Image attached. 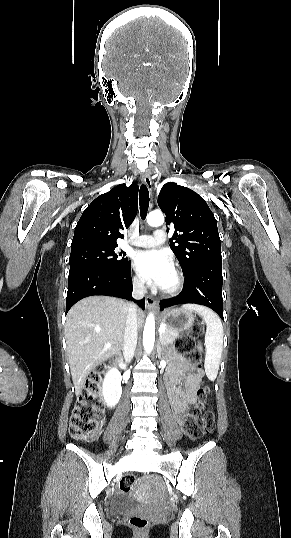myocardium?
I'll list each match as a JSON object with an SVG mask.
<instances>
[{"label":"myocardium","mask_w":291,"mask_h":538,"mask_svg":"<svg viewBox=\"0 0 291 538\" xmlns=\"http://www.w3.org/2000/svg\"><path fill=\"white\" fill-rule=\"evenodd\" d=\"M175 276L174 283L169 287H161V293L164 295L172 296L178 294L184 287V276L177 268L173 269Z\"/></svg>","instance_id":"obj_1"}]
</instances>
